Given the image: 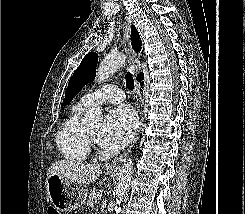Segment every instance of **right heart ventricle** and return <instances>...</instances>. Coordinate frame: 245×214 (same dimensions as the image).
<instances>
[{"label":"right heart ventricle","mask_w":245,"mask_h":214,"mask_svg":"<svg viewBox=\"0 0 245 214\" xmlns=\"http://www.w3.org/2000/svg\"><path fill=\"white\" fill-rule=\"evenodd\" d=\"M87 107L81 102L75 104L57 132L56 147L66 160L83 162L88 156L86 130L81 123V117Z\"/></svg>","instance_id":"obj_1"}]
</instances>
